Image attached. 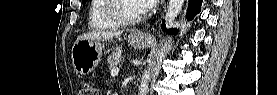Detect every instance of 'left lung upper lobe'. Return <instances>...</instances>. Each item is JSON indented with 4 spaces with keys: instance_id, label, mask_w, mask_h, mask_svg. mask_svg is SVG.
Returning <instances> with one entry per match:
<instances>
[{
    "instance_id": "obj_1",
    "label": "left lung upper lobe",
    "mask_w": 277,
    "mask_h": 95,
    "mask_svg": "<svg viewBox=\"0 0 277 95\" xmlns=\"http://www.w3.org/2000/svg\"><path fill=\"white\" fill-rule=\"evenodd\" d=\"M87 2V0H82L83 5Z\"/></svg>"
}]
</instances>
